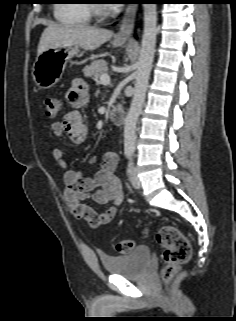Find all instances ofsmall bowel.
Here are the masks:
<instances>
[{"label":"small bowel","instance_id":"c3829d8e","mask_svg":"<svg viewBox=\"0 0 236 321\" xmlns=\"http://www.w3.org/2000/svg\"><path fill=\"white\" fill-rule=\"evenodd\" d=\"M71 106L61 120L51 124V130L58 137H68L74 145L82 144L88 135L89 126L80 110L89 101V92L81 81H75L66 94ZM68 150L57 148L53 156L63 169V197L75 218L84 220L93 227L110 223L116 215L118 206L124 200L121 182L115 172L118 155L115 151L104 154L101 169L93 177H83L81 171L69 169L63 160ZM91 198L99 205L110 204L103 212L86 205L84 200Z\"/></svg>","mask_w":236,"mask_h":321}]
</instances>
